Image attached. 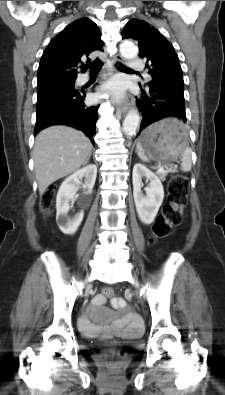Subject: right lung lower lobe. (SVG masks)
<instances>
[{
  "instance_id": "obj_1",
  "label": "right lung lower lobe",
  "mask_w": 225,
  "mask_h": 395,
  "mask_svg": "<svg viewBox=\"0 0 225 395\" xmlns=\"http://www.w3.org/2000/svg\"><path fill=\"white\" fill-rule=\"evenodd\" d=\"M84 92L60 89L37 100V119L34 130L51 125H68L83 131L91 140L98 120V106H86Z\"/></svg>"
}]
</instances>
